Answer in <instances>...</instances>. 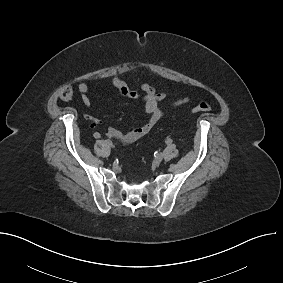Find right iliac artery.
I'll list each match as a JSON object with an SVG mask.
<instances>
[{
  "instance_id": "obj_1",
  "label": "right iliac artery",
  "mask_w": 283,
  "mask_h": 283,
  "mask_svg": "<svg viewBox=\"0 0 283 283\" xmlns=\"http://www.w3.org/2000/svg\"><path fill=\"white\" fill-rule=\"evenodd\" d=\"M94 136H95L97 139H100V138H101V135H100L98 132H95Z\"/></svg>"
}]
</instances>
